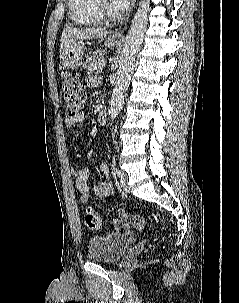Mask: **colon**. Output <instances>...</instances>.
I'll list each match as a JSON object with an SVG mask.
<instances>
[{"mask_svg": "<svg viewBox=\"0 0 239 303\" xmlns=\"http://www.w3.org/2000/svg\"><path fill=\"white\" fill-rule=\"evenodd\" d=\"M62 94L65 102L67 114L70 117L77 116L83 109L86 102V93L83 84L74 76L65 73L62 81ZM128 223L132 219H125ZM85 223L92 231H98L102 227V221L99 214L90 207L85 214ZM118 228H121L120 226Z\"/></svg>", "mask_w": 239, "mask_h": 303, "instance_id": "obj_1", "label": "colon"}]
</instances>
